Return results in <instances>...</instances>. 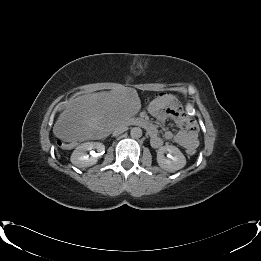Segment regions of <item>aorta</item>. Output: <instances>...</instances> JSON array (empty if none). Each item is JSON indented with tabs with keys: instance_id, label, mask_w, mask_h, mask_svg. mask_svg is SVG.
<instances>
[{
	"instance_id": "obj_1",
	"label": "aorta",
	"mask_w": 261,
	"mask_h": 261,
	"mask_svg": "<svg viewBox=\"0 0 261 261\" xmlns=\"http://www.w3.org/2000/svg\"><path fill=\"white\" fill-rule=\"evenodd\" d=\"M130 135L134 139H138L142 136V129L140 127H133L130 131Z\"/></svg>"
}]
</instances>
